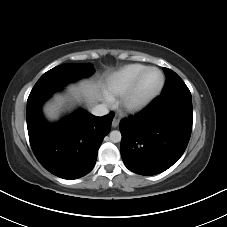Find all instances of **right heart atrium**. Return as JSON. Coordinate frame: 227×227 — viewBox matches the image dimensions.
<instances>
[{"instance_id":"1","label":"right heart atrium","mask_w":227,"mask_h":227,"mask_svg":"<svg viewBox=\"0 0 227 227\" xmlns=\"http://www.w3.org/2000/svg\"><path fill=\"white\" fill-rule=\"evenodd\" d=\"M106 101L110 102V98L108 96L106 97Z\"/></svg>"}]
</instances>
